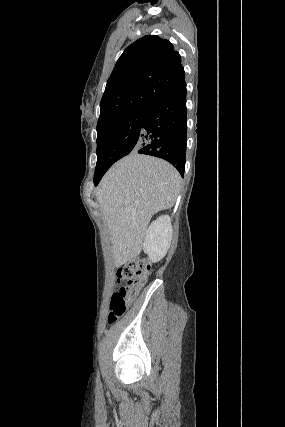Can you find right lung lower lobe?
Here are the masks:
<instances>
[{
  "mask_svg": "<svg viewBox=\"0 0 285 427\" xmlns=\"http://www.w3.org/2000/svg\"><path fill=\"white\" fill-rule=\"evenodd\" d=\"M186 83L152 102L146 108L135 151L162 158L183 176L186 161L187 109ZM105 172L94 177L98 184Z\"/></svg>",
  "mask_w": 285,
  "mask_h": 427,
  "instance_id": "obj_1",
  "label": "right lung lower lobe"
}]
</instances>
